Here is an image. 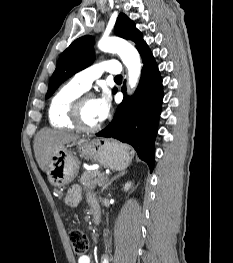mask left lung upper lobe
Wrapping results in <instances>:
<instances>
[{"mask_svg":"<svg viewBox=\"0 0 233 263\" xmlns=\"http://www.w3.org/2000/svg\"><path fill=\"white\" fill-rule=\"evenodd\" d=\"M114 31L117 36L135 42L138 51H141L146 44L134 22L123 13L119 14ZM93 44L92 36H83L73 41L61 54L56 70L50 79L46 98H49L66 79L92 64Z\"/></svg>","mask_w":233,"mask_h":263,"instance_id":"1","label":"left lung upper lobe"}]
</instances>
